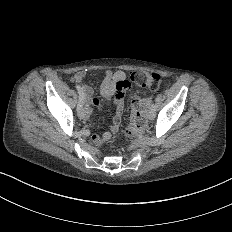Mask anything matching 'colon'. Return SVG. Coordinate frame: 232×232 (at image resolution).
<instances>
[{
  "label": "colon",
  "instance_id": "obj_1",
  "mask_svg": "<svg viewBox=\"0 0 232 232\" xmlns=\"http://www.w3.org/2000/svg\"><path fill=\"white\" fill-rule=\"evenodd\" d=\"M130 78L140 86H148V91L153 92L154 97H163L161 78L159 71H134ZM132 124L128 127V134L132 138H139L143 134V129L147 126V108L142 100H135L131 104Z\"/></svg>",
  "mask_w": 232,
  "mask_h": 232
}]
</instances>
